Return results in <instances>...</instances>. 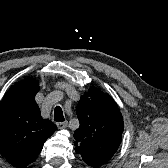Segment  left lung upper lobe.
Segmentation results:
<instances>
[{
    "mask_svg": "<svg viewBox=\"0 0 168 168\" xmlns=\"http://www.w3.org/2000/svg\"><path fill=\"white\" fill-rule=\"evenodd\" d=\"M79 128L74 133L77 154L89 166L108 162L120 146L123 117L115 101L100 89L92 87L77 105Z\"/></svg>",
    "mask_w": 168,
    "mask_h": 168,
    "instance_id": "5c2ea615",
    "label": "left lung upper lobe"
}]
</instances>
